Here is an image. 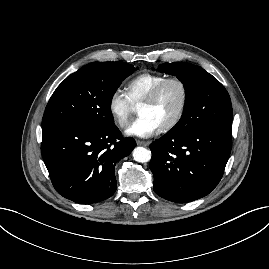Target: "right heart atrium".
Wrapping results in <instances>:
<instances>
[{
	"mask_svg": "<svg viewBox=\"0 0 269 269\" xmlns=\"http://www.w3.org/2000/svg\"><path fill=\"white\" fill-rule=\"evenodd\" d=\"M133 106L126 93L120 89L114 90L108 99V111L114 123L124 128L128 125Z\"/></svg>",
	"mask_w": 269,
	"mask_h": 269,
	"instance_id": "1",
	"label": "right heart atrium"
}]
</instances>
